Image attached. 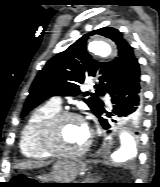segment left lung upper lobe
I'll use <instances>...</instances> for the list:
<instances>
[{"label":"left lung upper lobe","instance_id":"5c2ea615","mask_svg":"<svg viewBox=\"0 0 160 187\" xmlns=\"http://www.w3.org/2000/svg\"><path fill=\"white\" fill-rule=\"evenodd\" d=\"M93 34L105 36L116 43L118 57L115 60L98 62L88 55L85 51L86 41L88 36ZM134 58L133 49L117 29L104 27L84 35L67 50L50 59L38 73L31 85L22 117L51 96H76L80 94L79 83H83L85 78L89 76H98L99 84L95 85L94 93H83L84 96H90L84 99V102L97 115L103 103L100 96H104L105 92L124 76ZM125 121L128 127L138 135L137 130L140 122L135 124L129 119Z\"/></svg>","mask_w":160,"mask_h":187}]
</instances>
